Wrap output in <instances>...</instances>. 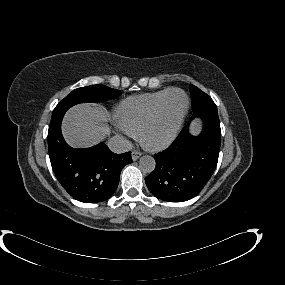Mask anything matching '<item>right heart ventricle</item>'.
I'll return each mask as SVG.
<instances>
[{
	"label": "right heart ventricle",
	"instance_id": "right-heart-ventricle-1",
	"mask_svg": "<svg viewBox=\"0 0 285 285\" xmlns=\"http://www.w3.org/2000/svg\"><path fill=\"white\" fill-rule=\"evenodd\" d=\"M170 89L130 96L118 106L120 123L139 135L141 129L155 112L158 104Z\"/></svg>",
	"mask_w": 285,
	"mask_h": 285
}]
</instances>
